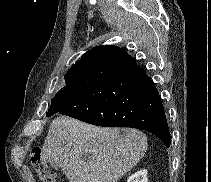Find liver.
Here are the masks:
<instances>
[{
    "label": "liver",
    "mask_w": 211,
    "mask_h": 182,
    "mask_svg": "<svg viewBox=\"0 0 211 182\" xmlns=\"http://www.w3.org/2000/svg\"><path fill=\"white\" fill-rule=\"evenodd\" d=\"M146 150L147 137L139 130L96 127L61 116L52 121L41 155L56 162L69 182H117Z\"/></svg>",
    "instance_id": "obj_1"
}]
</instances>
